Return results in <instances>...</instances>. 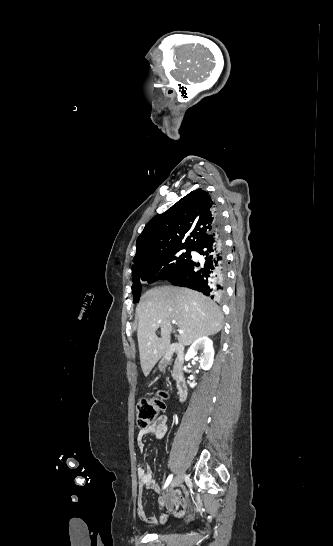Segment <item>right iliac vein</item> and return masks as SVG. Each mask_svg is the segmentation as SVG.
<instances>
[{
    "label": "right iliac vein",
    "mask_w": 333,
    "mask_h": 546,
    "mask_svg": "<svg viewBox=\"0 0 333 546\" xmlns=\"http://www.w3.org/2000/svg\"><path fill=\"white\" fill-rule=\"evenodd\" d=\"M184 479L183 473L178 474L172 481L171 486L169 489H173L174 487L179 486Z\"/></svg>",
    "instance_id": "right-iliac-vein-1"
}]
</instances>
